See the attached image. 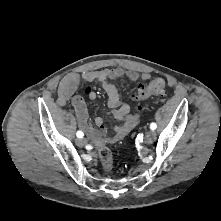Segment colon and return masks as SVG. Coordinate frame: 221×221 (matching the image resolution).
Returning <instances> with one entry per match:
<instances>
[{"mask_svg": "<svg viewBox=\"0 0 221 221\" xmlns=\"http://www.w3.org/2000/svg\"><path fill=\"white\" fill-rule=\"evenodd\" d=\"M165 90V81L161 78H156L150 82V84L146 87H139L134 99L135 100H144L154 95L162 94ZM99 158L103 165V168L106 171H110L113 165V153L112 151L106 147L102 146L99 149Z\"/></svg>", "mask_w": 221, "mask_h": 221, "instance_id": "1", "label": "colon"}]
</instances>
